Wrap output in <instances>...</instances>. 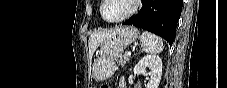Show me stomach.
Segmentation results:
<instances>
[{
  "label": "stomach",
  "mask_w": 227,
  "mask_h": 88,
  "mask_svg": "<svg viewBox=\"0 0 227 88\" xmlns=\"http://www.w3.org/2000/svg\"><path fill=\"white\" fill-rule=\"evenodd\" d=\"M138 37L139 31L135 27L115 28L100 45L101 56L93 63V77L99 81L109 78L115 70L114 60L121 57L126 47Z\"/></svg>",
  "instance_id": "1"
}]
</instances>
